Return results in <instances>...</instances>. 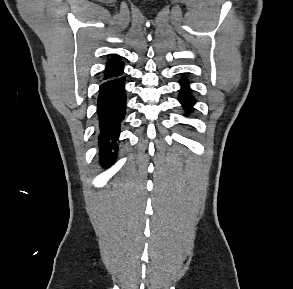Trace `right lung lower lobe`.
I'll list each match as a JSON object with an SVG mask.
<instances>
[{
	"mask_svg": "<svg viewBox=\"0 0 293 289\" xmlns=\"http://www.w3.org/2000/svg\"><path fill=\"white\" fill-rule=\"evenodd\" d=\"M125 77L106 81L100 86L97 113L99 117L100 162L106 166L117 156L120 123L125 116Z\"/></svg>",
	"mask_w": 293,
	"mask_h": 289,
	"instance_id": "98d812e1",
	"label": "right lung lower lobe"
}]
</instances>
